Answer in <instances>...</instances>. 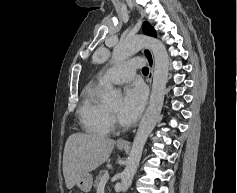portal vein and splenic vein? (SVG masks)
<instances>
[{
	"mask_svg": "<svg viewBox=\"0 0 237 193\" xmlns=\"http://www.w3.org/2000/svg\"><path fill=\"white\" fill-rule=\"evenodd\" d=\"M109 179V173L106 171L105 174L102 176L100 183H106Z\"/></svg>",
	"mask_w": 237,
	"mask_h": 193,
	"instance_id": "obj_1",
	"label": "portal vein and splenic vein"
}]
</instances>
